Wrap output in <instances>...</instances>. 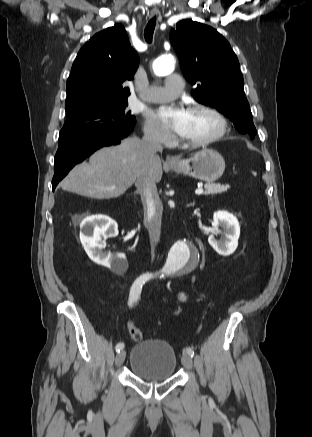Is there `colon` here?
Masks as SVG:
<instances>
[{"mask_svg": "<svg viewBox=\"0 0 312 437\" xmlns=\"http://www.w3.org/2000/svg\"><path fill=\"white\" fill-rule=\"evenodd\" d=\"M128 330L133 340L140 341L142 339V332L137 327H135L132 323L128 324Z\"/></svg>", "mask_w": 312, "mask_h": 437, "instance_id": "colon-1", "label": "colon"}]
</instances>
